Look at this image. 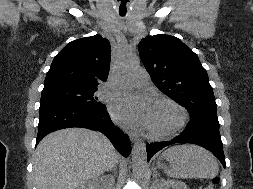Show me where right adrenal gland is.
Returning a JSON list of instances; mask_svg holds the SVG:
<instances>
[{
	"label": "right adrenal gland",
	"instance_id": "right-adrenal-gland-1",
	"mask_svg": "<svg viewBox=\"0 0 253 189\" xmlns=\"http://www.w3.org/2000/svg\"><path fill=\"white\" fill-rule=\"evenodd\" d=\"M116 169H117V167H116V166H114L113 168H111V169L107 170V172H109V171H113L114 176H116V174H117Z\"/></svg>",
	"mask_w": 253,
	"mask_h": 189
}]
</instances>
